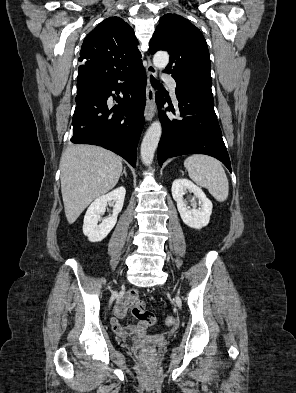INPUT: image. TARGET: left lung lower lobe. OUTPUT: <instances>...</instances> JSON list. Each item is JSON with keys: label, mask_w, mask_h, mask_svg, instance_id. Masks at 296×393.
<instances>
[{"label": "left lung lower lobe", "mask_w": 296, "mask_h": 393, "mask_svg": "<svg viewBox=\"0 0 296 393\" xmlns=\"http://www.w3.org/2000/svg\"><path fill=\"white\" fill-rule=\"evenodd\" d=\"M179 101L180 120H170L165 112L159 117L163 126L158 145V162L184 154H206L220 160L231 172V165L222 133L214 111L212 91L185 90L176 92ZM165 99L156 94V103L161 108ZM174 112V109L167 108Z\"/></svg>", "instance_id": "0a47b994"}]
</instances>
